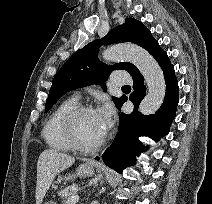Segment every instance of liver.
<instances>
[{"mask_svg":"<svg viewBox=\"0 0 212 204\" xmlns=\"http://www.w3.org/2000/svg\"><path fill=\"white\" fill-rule=\"evenodd\" d=\"M75 158L54 149L44 150L37 162L36 204H41L57 174L72 166Z\"/></svg>","mask_w":212,"mask_h":204,"instance_id":"liver-1","label":"liver"}]
</instances>
